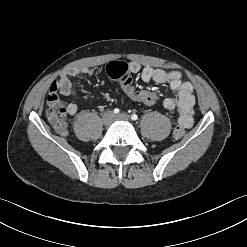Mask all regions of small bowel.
Masks as SVG:
<instances>
[{"mask_svg":"<svg viewBox=\"0 0 247 247\" xmlns=\"http://www.w3.org/2000/svg\"><path fill=\"white\" fill-rule=\"evenodd\" d=\"M129 73L137 74L144 82L154 81L158 84H167L171 91L178 94L177 100L166 98L163 101V107L171 112H178L179 123L185 127L190 128L193 125L195 96L193 94V87L190 82L183 79L178 71H166L160 68L144 67L136 62L128 64ZM94 71L89 68L73 67L64 72L51 86V90H55L63 96H74L82 98L81 94L75 89L72 84V77L92 76ZM66 105L67 114L73 116L77 112V106L73 103Z\"/></svg>","mask_w":247,"mask_h":247,"instance_id":"small-bowel-1","label":"small bowel"}]
</instances>
